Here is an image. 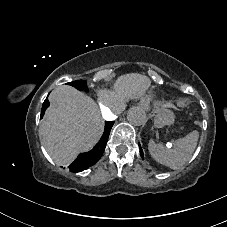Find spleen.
Instances as JSON below:
<instances>
[{"mask_svg": "<svg viewBox=\"0 0 227 227\" xmlns=\"http://www.w3.org/2000/svg\"><path fill=\"white\" fill-rule=\"evenodd\" d=\"M199 139V132L194 130L185 137L177 139L173 147L168 148L162 143L156 144L153 140L149 141L148 150L152 158L171 169H179L191 157Z\"/></svg>", "mask_w": 227, "mask_h": 227, "instance_id": "spleen-1", "label": "spleen"}]
</instances>
